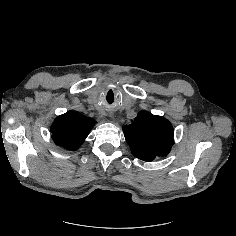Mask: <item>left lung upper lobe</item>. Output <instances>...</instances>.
<instances>
[{"mask_svg": "<svg viewBox=\"0 0 236 236\" xmlns=\"http://www.w3.org/2000/svg\"><path fill=\"white\" fill-rule=\"evenodd\" d=\"M123 132L132 154L143 161L166 156L173 145L171 123L147 111L139 112L130 125L123 127Z\"/></svg>", "mask_w": 236, "mask_h": 236, "instance_id": "1", "label": "left lung upper lobe"}]
</instances>
